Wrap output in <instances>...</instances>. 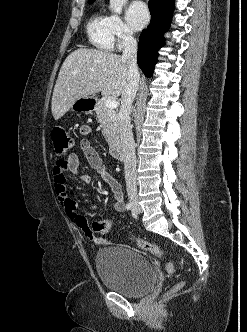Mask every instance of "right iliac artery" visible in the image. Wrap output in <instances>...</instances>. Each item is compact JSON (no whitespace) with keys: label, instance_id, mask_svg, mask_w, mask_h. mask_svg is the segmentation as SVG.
Returning a JSON list of instances; mask_svg holds the SVG:
<instances>
[{"label":"right iliac artery","instance_id":"right-iliac-artery-1","mask_svg":"<svg viewBox=\"0 0 247 332\" xmlns=\"http://www.w3.org/2000/svg\"><path fill=\"white\" fill-rule=\"evenodd\" d=\"M126 209H127V210H131V209H132V203H128V204L126 205Z\"/></svg>","mask_w":247,"mask_h":332}]
</instances>
